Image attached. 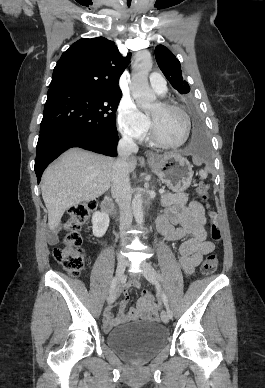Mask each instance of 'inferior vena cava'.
<instances>
[{"instance_id":"obj_1","label":"inferior vena cava","mask_w":265,"mask_h":388,"mask_svg":"<svg viewBox=\"0 0 265 388\" xmlns=\"http://www.w3.org/2000/svg\"><path fill=\"white\" fill-rule=\"evenodd\" d=\"M139 148L131 136H123L117 146L118 158L112 166L111 194L120 208V236L125 240L126 230L132 224L131 186L129 180L128 158L137 154Z\"/></svg>"}]
</instances>
